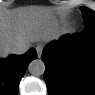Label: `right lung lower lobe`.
Masks as SVG:
<instances>
[{
  "label": "right lung lower lobe",
  "mask_w": 95,
  "mask_h": 95,
  "mask_svg": "<svg viewBox=\"0 0 95 95\" xmlns=\"http://www.w3.org/2000/svg\"><path fill=\"white\" fill-rule=\"evenodd\" d=\"M37 57L35 49L26 54L12 55L0 60V92L3 95H17L19 82L23 77L29 63Z\"/></svg>",
  "instance_id": "obj_1"
}]
</instances>
